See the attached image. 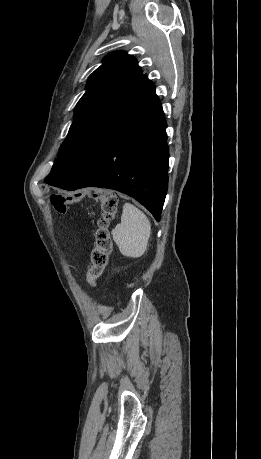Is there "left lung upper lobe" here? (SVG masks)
<instances>
[{
    "label": "left lung upper lobe",
    "instance_id": "left-lung-upper-lobe-1",
    "mask_svg": "<svg viewBox=\"0 0 261 459\" xmlns=\"http://www.w3.org/2000/svg\"><path fill=\"white\" fill-rule=\"evenodd\" d=\"M154 91L134 57L123 51L107 55L89 77L46 183L58 186L91 160Z\"/></svg>",
    "mask_w": 261,
    "mask_h": 459
}]
</instances>
